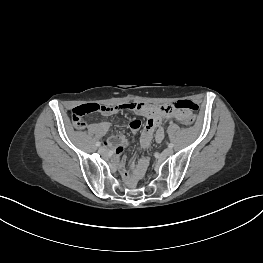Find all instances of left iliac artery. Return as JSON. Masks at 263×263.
<instances>
[{"instance_id": "44dca946", "label": "left iliac artery", "mask_w": 263, "mask_h": 263, "mask_svg": "<svg viewBox=\"0 0 263 263\" xmlns=\"http://www.w3.org/2000/svg\"><path fill=\"white\" fill-rule=\"evenodd\" d=\"M173 146H174V145H173L172 143L168 144V147H169V148H173Z\"/></svg>"}]
</instances>
